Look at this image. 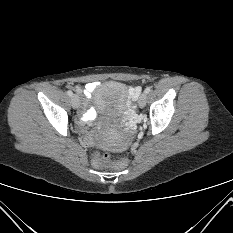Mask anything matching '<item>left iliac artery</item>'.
Returning a JSON list of instances; mask_svg holds the SVG:
<instances>
[{
	"label": "left iliac artery",
	"mask_w": 233,
	"mask_h": 233,
	"mask_svg": "<svg viewBox=\"0 0 233 233\" xmlns=\"http://www.w3.org/2000/svg\"><path fill=\"white\" fill-rule=\"evenodd\" d=\"M150 91H151V87H146L144 92L148 94Z\"/></svg>",
	"instance_id": "44dca946"
}]
</instances>
